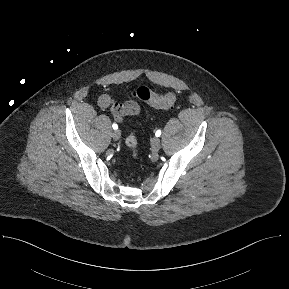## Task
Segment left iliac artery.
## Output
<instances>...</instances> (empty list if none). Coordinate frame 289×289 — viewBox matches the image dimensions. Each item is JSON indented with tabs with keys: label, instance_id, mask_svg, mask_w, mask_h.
Masks as SVG:
<instances>
[{
	"label": "left iliac artery",
	"instance_id": "obj_1",
	"mask_svg": "<svg viewBox=\"0 0 289 289\" xmlns=\"http://www.w3.org/2000/svg\"><path fill=\"white\" fill-rule=\"evenodd\" d=\"M155 135H156L157 137H159V136L161 135V130H157L156 133H155Z\"/></svg>",
	"mask_w": 289,
	"mask_h": 289
}]
</instances>
